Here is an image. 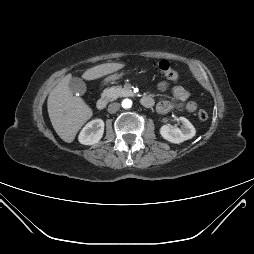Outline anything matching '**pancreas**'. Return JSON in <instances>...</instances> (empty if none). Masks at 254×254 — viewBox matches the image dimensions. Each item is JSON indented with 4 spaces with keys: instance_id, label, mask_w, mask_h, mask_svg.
I'll list each match as a JSON object with an SVG mask.
<instances>
[{
    "instance_id": "1",
    "label": "pancreas",
    "mask_w": 254,
    "mask_h": 254,
    "mask_svg": "<svg viewBox=\"0 0 254 254\" xmlns=\"http://www.w3.org/2000/svg\"><path fill=\"white\" fill-rule=\"evenodd\" d=\"M133 95L129 90L122 88L120 86L117 87H110L103 90L101 96L106 98L107 101H113L116 100L119 97L122 96H131Z\"/></svg>"
}]
</instances>
